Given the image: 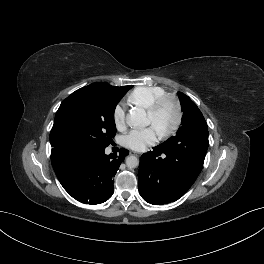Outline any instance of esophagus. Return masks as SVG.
<instances>
[{
  "instance_id": "1",
  "label": "esophagus",
  "mask_w": 264,
  "mask_h": 264,
  "mask_svg": "<svg viewBox=\"0 0 264 264\" xmlns=\"http://www.w3.org/2000/svg\"><path fill=\"white\" fill-rule=\"evenodd\" d=\"M130 154H133V155L139 156V154L136 153V152H130Z\"/></svg>"
}]
</instances>
